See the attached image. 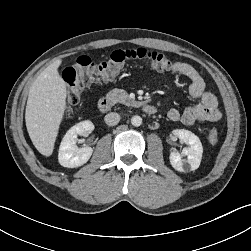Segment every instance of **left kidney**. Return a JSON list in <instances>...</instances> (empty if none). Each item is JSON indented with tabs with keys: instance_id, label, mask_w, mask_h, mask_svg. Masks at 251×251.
<instances>
[{
	"instance_id": "5707ae66",
	"label": "left kidney",
	"mask_w": 251,
	"mask_h": 251,
	"mask_svg": "<svg viewBox=\"0 0 251 251\" xmlns=\"http://www.w3.org/2000/svg\"><path fill=\"white\" fill-rule=\"evenodd\" d=\"M172 133L188 145V147L183 148L181 153L176 151L170 153L169 159L172 167L184 173L196 170L200 165L203 153L200 139L194 133L185 129H176ZM183 156L186 159H182Z\"/></svg>"
}]
</instances>
